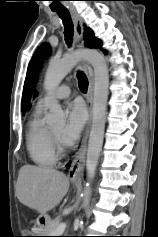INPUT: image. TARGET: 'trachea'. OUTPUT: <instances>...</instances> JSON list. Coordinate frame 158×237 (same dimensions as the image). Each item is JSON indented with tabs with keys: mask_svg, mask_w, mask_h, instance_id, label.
<instances>
[{
	"mask_svg": "<svg viewBox=\"0 0 158 237\" xmlns=\"http://www.w3.org/2000/svg\"><path fill=\"white\" fill-rule=\"evenodd\" d=\"M59 17L63 20V24L65 26V40L67 44H71L72 36H73V24L71 21L70 14L67 9H58L55 10ZM78 78V86L81 91L86 92L88 88V79L83 72H79L77 74Z\"/></svg>",
	"mask_w": 158,
	"mask_h": 237,
	"instance_id": "3493384b",
	"label": "trachea"
}]
</instances>
